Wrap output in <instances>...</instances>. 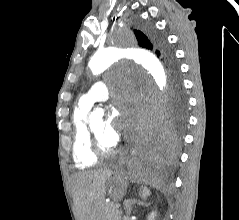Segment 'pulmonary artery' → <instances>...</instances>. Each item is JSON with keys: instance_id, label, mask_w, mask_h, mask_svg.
Instances as JSON below:
<instances>
[{"instance_id": "e3ab8cb5", "label": "pulmonary artery", "mask_w": 239, "mask_h": 220, "mask_svg": "<svg viewBox=\"0 0 239 220\" xmlns=\"http://www.w3.org/2000/svg\"><path fill=\"white\" fill-rule=\"evenodd\" d=\"M109 98L108 87L105 82L94 83L79 99L82 105L91 107L94 103L106 101Z\"/></svg>"}]
</instances>
